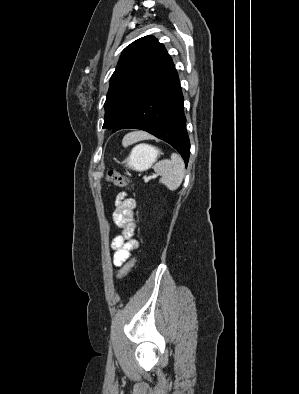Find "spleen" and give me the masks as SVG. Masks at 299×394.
Here are the masks:
<instances>
[{"label": "spleen", "mask_w": 299, "mask_h": 394, "mask_svg": "<svg viewBox=\"0 0 299 394\" xmlns=\"http://www.w3.org/2000/svg\"><path fill=\"white\" fill-rule=\"evenodd\" d=\"M127 142V136L123 140V144ZM184 161L177 154L172 153L170 160H161L154 166V171L161 176L160 183L164 184L167 189L176 190L184 178Z\"/></svg>", "instance_id": "1"}]
</instances>
